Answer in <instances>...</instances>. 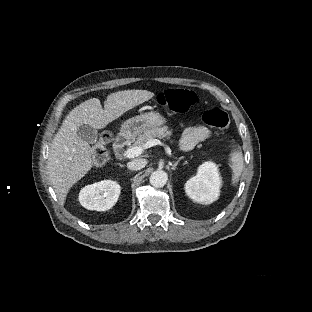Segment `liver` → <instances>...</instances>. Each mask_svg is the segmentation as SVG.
Masks as SVG:
<instances>
[{
	"mask_svg": "<svg viewBox=\"0 0 312 312\" xmlns=\"http://www.w3.org/2000/svg\"><path fill=\"white\" fill-rule=\"evenodd\" d=\"M153 92L124 90L111 93L104 102V109L97 98H91L69 112L55 135L48 157L49 180L61 204L70 188L92 168L93 149L77 135L82 124L95 129L105 128L126 111L150 100Z\"/></svg>",
	"mask_w": 312,
	"mask_h": 312,
	"instance_id": "1",
	"label": "liver"
}]
</instances>
